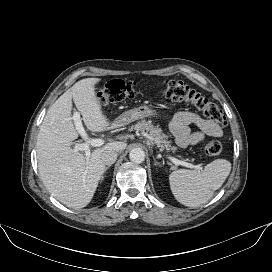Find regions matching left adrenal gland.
I'll use <instances>...</instances> for the list:
<instances>
[{
    "label": "left adrenal gland",
    "mask_w": 272,
    "mask_h": 272,
    "mask_svg": "<svg viewBox=\"0 0 272 272\" xmlns=\"http://www.w3.org/2000/svg\"><path fill=\"white\" fill-rule=\"evenodd\" d=\"M154 164L160 166V164L156 162L155 158H154Z\"/></svg>",
    "instance_id": "1"
}]
</instances>
